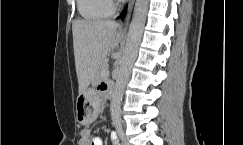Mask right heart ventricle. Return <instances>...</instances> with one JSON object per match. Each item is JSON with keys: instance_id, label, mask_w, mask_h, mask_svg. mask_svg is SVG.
<instances>
[{"instance_id": "e07e8e85", "label": "right heart ventricle", "mask_w": 243, "mask_h": 145, "mask_svg": "<svg viewBox=\"0 0 243 145\" xmlns=\"http://www.w3.org/2000/svg\"><path fill=\"white\" fill-rule=\"evenodd\" d=\"M80 15L89 21L107 18L113 13L111 0H77Z\"/></svg>"}]
</instances>
